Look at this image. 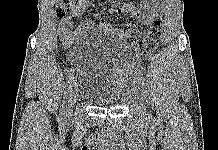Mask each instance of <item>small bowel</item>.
Instances as JSON below:
<instances>
[{
    "instance_id": "small-bowel-1",
    "label": "small bowel",
    "mask_w": 218,
    "mask_h": 150,
    "mask_svg": "<svg viewBox=\"0 0 218 150\" xmlns=\"http://www.w3.org/2000/svg\"><path fill=\"white\" fill-rule=\"evenodd\" d=\"M92 0H78L75 4L71 15L64 18L58 27V36L63 47L70 49L68 53V59L70 61L75 60L77 57V49L72 45L75 39L84 34L85 32L96 29L98 31L111 34L119 39H123L125 32L129 29H137L138 23L143 26H150L155 19L159 17L163 9L164 0H144L141 3V8L135 7L131 2H128L124 8H118L119 0H113L111 12L113 13H125L127 15L125 28L114 29L111 24L101 22L95 24L92 19H85L81 24L72 31V19L81 16L89 8ZM96 18L100 17L99 13L94 15Z\"/></svg>"
}]
</instances>
